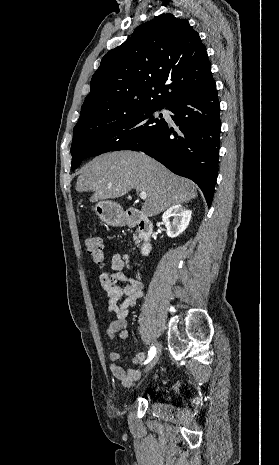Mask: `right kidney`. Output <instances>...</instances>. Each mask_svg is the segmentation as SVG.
Listing matches in <instances>:
<instances>
[{"mask_svg": "<svg viewBox=\"0 0 279 465\" xmlns=\"http://www.w3.org/2000/svg\"><path fill=\"white\" fill-rule=\"evenodd\" d=\"M191 215L192 211L186 209L180 204L167 209L162 215V220L166 226L167 236L175 238L184 232L189 225ZM170 218H173L172 222H170Z\"/></svg>", "mask_w": 279, "mask_h": 465, "instance_id": "obj_1", "label": "right kidney"}]
</instances>
